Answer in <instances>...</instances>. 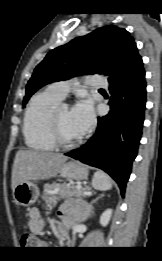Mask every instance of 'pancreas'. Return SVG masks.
Segmentation results:
<instances>
[{
  "label": "pancreas",
  "mask_w": 162,
  "mask_h": 261,
  "mask_svg": "<svg viewBox=\"0 0 162 261\" xmlns=\"http://www.w3.org/2000/svg\"><path fill=\"white\" fill-rule=\"evenodd\" d=\"M91 188L85 185L81 189H77L75 185H67L66 183H52L44 186L42 199L47 205H54L61 198H68L72 196L86 197L87 192Z\"/></svg>",
  "instance_id": "pancreas-1"
}]
</instances>
